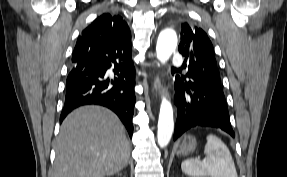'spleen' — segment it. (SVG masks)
I'll use <instances>...</instances> for the list:
<instances>
[{
  "instance_id": "1",
  "label": "spleen",
  "mask_w": 287,
  "mask_h": 177,
  "mask_svg": "<svg viewBox=\"0 0 287 177\" xmlns=\"http://www.w3.org/2000/svg\"><path fill=\"white\" fill-rule=\"evenodd\" d=\"M204 153L206 158L203 161H183L182 171L192 177H238L231 153L220 138L208 135Z\"/></svg>"
}]
</instances>
